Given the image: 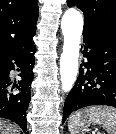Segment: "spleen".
Masks as SVG:
<instances>
[{"label": "spleen", "mask_w": 116, "mask_h": 134, "mask_svg": "<svg viewBox=\"0 0 116 134\" xmlns=\"http://www.w3.org/2000/svg\"><path fill=\"white\" fill-rule=\"evenodd\" d=\"M90 124L103 125L109 134H116V109L107 106H92L75 112L68 121L71 134H79L80 130Z\"/></svg>", "instance_id": "obj_1"}]
</instances>
